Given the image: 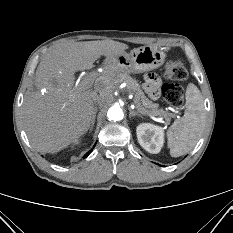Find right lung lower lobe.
<instances>
[{"instance_id": "1", "label": "right lung lower lobe", "mask_w": 233, "mask_h": 233, "mask_svg": "<svg viewBox=\"0 0 233 233\" xmlns=\"http://www.w3.org/2000/svg\"><path fill=\"white\" fill-rule=\"evenodd\" d=\"M90 153H91V151H89V152L85 155V157H87Z\"/></svg>"}]
</instances>
